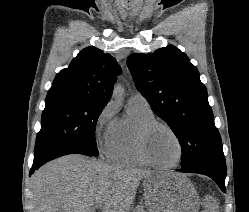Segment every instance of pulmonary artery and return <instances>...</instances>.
Listing matches in <instances>:
<instances>
[{"label":"pulmonary artery","instance_id":"pulmonary-artery-1","mask_svg":"<svg viewBox=\"0 0 249 212\" xmlns=\"http://www.w3.org/2000/svg\"><path fill=\"white\" fill-rule=\"evenodd\" d=\"M129 103H133L136 105H140V106H144V107H149V103L146 100V98L140 94V93H135L133 94L130 99H129Z\"/></svg>","mask_w":249,"mask_h":212}]
</instances>
